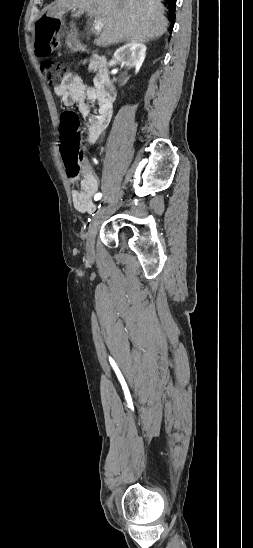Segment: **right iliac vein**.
<instances>
[{
  "label": "right iliac vein",
  "mask_w": 253,
  "mask_h": 548,
  "mask_svg": "<svg viewBox=\"0 0 253 548\" xmlns=\"http://www.w3.org/2000/svg\"><path fill=\"white\" fill-rule=\"evenodd\" d=\"M113 208L112 205L99 209L95 216L92 219V222L88 228L87 241H86V252L89 258H94V240L98 232L100 224L102 222L103 216L108 213Z\"/></svg>",
  "instance_id": "1"
}]
</instances>
